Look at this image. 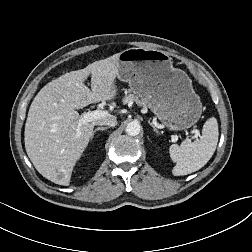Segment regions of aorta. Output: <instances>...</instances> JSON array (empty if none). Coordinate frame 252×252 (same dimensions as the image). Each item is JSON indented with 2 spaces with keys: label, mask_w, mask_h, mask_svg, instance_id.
Wrapping results in <instances>:
<instances>
[{
  "label": "aorta",
  "mask_w": 252,
  "mask_h": 252,
  "mask_svg": "<svg viewBox=\"0 0 252 252\" xmlns=\"http://www.w3.org/2000/svg\"><path fill=\"white\" fill-rule=\"evenodd\" d=\"M125 132L129 136H136L140 133V125L137 122H130L125 128Z\"/></svg>",
  "instance_id": "762f6f07"
}]
</instances>
